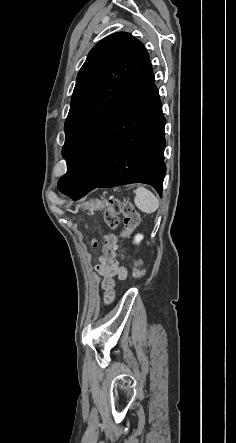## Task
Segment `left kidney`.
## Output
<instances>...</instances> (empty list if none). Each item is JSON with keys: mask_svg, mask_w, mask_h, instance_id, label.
Here are the masks:
<instances>
[{"mask_svg": "<svg viewBox=\"0 0 236 443\" xmlns=\"http://www.w3.org/2000/svg\"><path fill=\"white\" fill-rule=\"evenodd\" d=\"M142 239H143V235L137 234L134 238V243L139 244Z\"/></svg>", "mask_w": 236, "mask_h": 443, "instance_id": "1", "label": "left kidney"}]
</instances>
